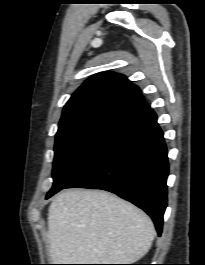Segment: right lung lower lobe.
<instances>
[{
  "mask_svg": "<svg viewBox=\"0 0 205 265\" xmlns=\"http://www.w3.org/2000/svg\"><path fill=\"white\" fill-rule=\"evenodd\" d=\"M168 171L163 133L150 109L129 123L64 188H96L115 193L150 215L161 235Z\"/></svg>",
  "mask_w": 205,
  "mask_h": 265,
  "instance_id": "right-lung-lower-lobe-1",
  "label": "right lung lower lobe"
}]
</instances>
